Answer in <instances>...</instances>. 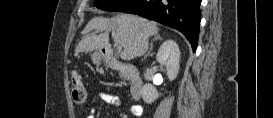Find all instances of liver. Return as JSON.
I'll list each match as a JSON object with an SVG mask.
<instances>
[{
  "instance_id": "6515ba94",
  "label": "liver",
  "mask_w": 273,
  "mask_h": 118,
  "mask_svg": "<svg viewBox=\"0 0 273 118\" xmlns=\"http://www.w3.org/2000/svg\"><path fill=\"white\" fill-rule=\"evenodd\" d=\"M105 31L97 35L92 31ZM156 22L132 15H117L112 18L94 17L86 25V35L76 47V52L101 51L109 48V31H112L116 43L124 50L121 52L123 60H132L143 56L148 50V39L157 35ZM92 32V33H90Z\"/></svg>"
}]
</instances>
